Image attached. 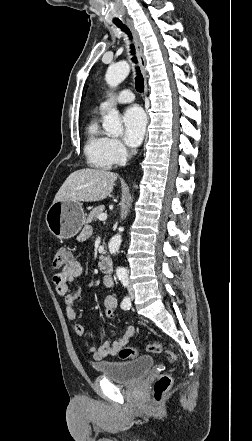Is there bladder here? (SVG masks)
<instances>
[{
	"instance_id": "obj_1",
	"label": "bladder",
	"mask_w": 252,
	"mask_h": 441,
	"mask_svg": "<svg viewBox=\"0 0 252 441\" xmlns=\"http://www.w3.org/2000/svg\"><path fill=\"white\" fill-rule=\"evenodd\" d=\"M154 360L149 355L130 361H105L96 364V369L105 377L120 384H134L144 378L153 368Z\"/></svg>"
}]
</instances>
